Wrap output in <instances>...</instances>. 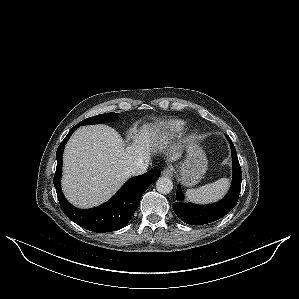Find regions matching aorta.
Returning a JSON list of instances; mask_svg holds the SVG:
<instances>
[{
    "label": "aorta",
    "instance_id": "obj_1",
    "mask_svg": "<svg viewBox=\"0 0 299 299\" xmlns=\"http://www.w3.org/2000/svg\"><path fill=\"white\" fill-rule=\"evenodd\" d=\"M156 189L159 193L168 194L173 189L172 180L169 177H160L156 181Z\"/></svg>",
    "mask_w": 299,
    "mask_h": 299
}]
</instances>
